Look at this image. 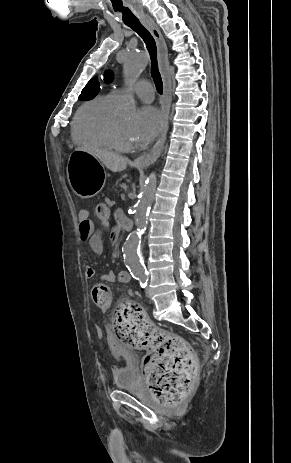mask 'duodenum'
<instances>
[{"instance_id": "duodenum-1", "label": "duodenum", "mask_w": 291, "mask_h": 463, "mask_svg": "<svg viewBox=\"0 0 291 463\" xmlns=\"http://www.w3.org/2000/svg\"><path fill=\"white\" fill-rule=\"evenodd\" d=\"M118 226H120L122 228V230H130L132 228L133 224L129 219L120 217L119 220H118ZM111 239H112V237H111Z\"/></svg>"}]
</instances>
